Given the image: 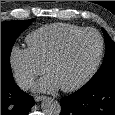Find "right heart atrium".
I'll return each instance as SVG.
<instances>
[{
  "mask_svg": "<svg viewBox=\"0 0 115 115\" xmlns=\"http://www.w3.org/2000/svg\"><path fill=\"white\" fill-rule=\"evenodd\" d=\"M9 63L22 89L30 88L35 78L44 72V66L33 57L28 48L13 46L9 53Z\"/></svg>",
  "mask_w": 115,
  "mask_h": 115,
  "instance_id": "obj_1",
  "label": "right heart atrium"
}]
</instances>
